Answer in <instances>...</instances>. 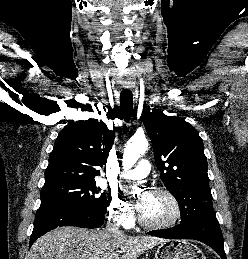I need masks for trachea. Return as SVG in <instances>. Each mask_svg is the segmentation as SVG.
I'll return each mask as SVG.
<instances>
[{
    "instance_id": "obj_1",
    "label": "trachea",
    "mask_w": 248,
    "mask_h": 259,
    "mask_svg": "<svg viewBox=\"0 0 248 259\" xmlns=\"http://www.w3.org/2000/svg\"><path fill=\"white\" fill-rule=\"evenodd\" d=\"M120 106L124 120L128 122L133 111V95L130 91H124L120 94Z\"/></svg>"
}]
</instances>
